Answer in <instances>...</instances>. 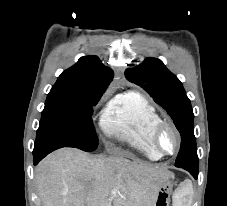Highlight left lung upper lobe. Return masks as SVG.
Segmentation results:
<instances>
[{
  "label": "left lung upper lobe",
  "mask_w": 227,
  "mask_h": 206,
  "mask_svg": "<svg viewBox=\"0 0 227 206\" xmlns=\"http://www.w3.org/2000/svg\"><path fill=\"white\" fill-rule=\"evenodd\" d=\"M126 78L141 86L171 116L181 135V148L175 166H198L194 114L190 100L178 78L161 60L148 57L140 65L127 69Z\"/></svg>",
  "instance_id": "obj_1"
}]
</instances>
